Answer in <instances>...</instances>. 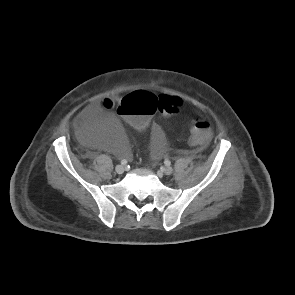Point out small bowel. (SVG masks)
Listing matches in <instances>:
<instances>
[{"label": "small bowel", "mask_w": 295, "mask_h": 295, "mask_svg": "<svg viewBox=\"0 0 295 295\" xmlns=\"http://www.w3.org/2000/svg\"><path fill=\"white\" fill-rule=\"evenodd\" d=\"M140 91H142V90H140ZM136 92H138V91H136ZM149 127L151 128L152 154H153L154 157H158L162 152V142H161L162 132H161L160 127L156 123L152 122V120H151V123L149 124V126L146 127L145 129H147ZM145 129H141L139 131H143ZM136 130H138V129H136ZM130 155L131 154H130V150H129L126 157L129 158Z\"/></svg>", "instance_id": "obj_1"}]
</instances>
